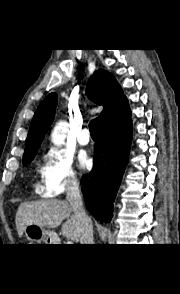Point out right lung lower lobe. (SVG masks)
Segmentation results:
<instances>
[{
  "instance_id": "obj_1",
  "label": "right lung lower lobe",
  "mask_w": 180,
  "mask_h": 294,
  "mask_svg": "<svg viewBox=\"0 0 180 294\" xmlns=\"http://www.w3.org/2000/svg\"><path fill=\"white\" fill-rule=\"evenodd\" d=\"M130 117L126 100L101 119L94 147V167L88 177H82L86 206L103 222L112 219L113 202L128 161L132 137Z\"/></svg>"
}]
</instances>
